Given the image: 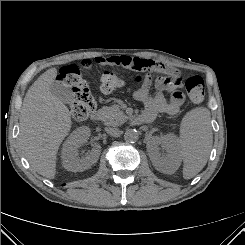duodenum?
<instances>
[{
    "mask_svg": "<svg viewBox=\"0 0 245 245\" xmlns=\"http://www.w3.org/2000/svg\"><path fill=\"white\" fill-rule=\"evenodd\" d=\"M91 119L93 121H99L101 119V113L99 111H94L92 114H91ZM133 122L136 124V125H140V124H143V123H147V122H150V118L141 114V115H138L136 116L134 119H133Z\"/></svg>",
    "mask_w": 245,
    "mask_h": 245,
    "instance_id": "410a0bca",
    "label": "duodenum"
}]
</instances>
